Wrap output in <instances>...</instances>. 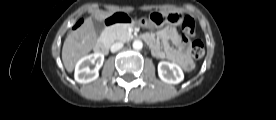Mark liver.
Wrapping results in <instances>:
<instances>
[{
	"label": "liver",
	"instance_id": "obj_1",
	"mask_svg": "<svg viewBox=\"0 0 276 120\" xmlns=\"http://www.w3.org/2000/svg\"><path fill=\"white\" fill-rule=\"evenodd\" d=\"M111 12L97 11L93 14L95 20L103 21L110 17ZM96 43V33L91 17L84 20L76 30L71 31L63 44L62 60L68 72H72L75 64L88 54Z\"/></svg>",
	"mask_w": 276,
	"mask_h": 120
}]
</instances>
